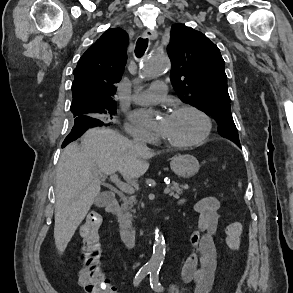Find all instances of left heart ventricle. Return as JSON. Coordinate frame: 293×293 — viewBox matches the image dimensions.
Returning a JSON list of instances; mask_svg holds the SVG:
<instances>
[{"instance_id": "obj_1", "label": "left heart ventricle", "mask_w": 293, "mask_h": 293, "mask_svg": "<svg viewBox=\"0 0 293 293\" xmlns=\"http://www.w3.org/2000/svg\"><path fill=\"white\" fill-rule=\"evenodd\" d=\"M204 129L202 119L191 111L171 113L167 117L165 129L162 132L164 139L176 142H187L198 138Z\"/></svg>"}]
</instances>
